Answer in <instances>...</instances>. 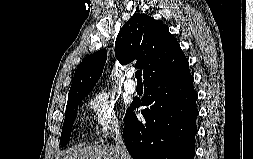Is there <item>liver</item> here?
<instances>
[{"mask_svg": "<svg viewBox=\"0 0 253 159\" xmlns=\"http://www.w3.org/2000/svg\"><path fill=\"white\" fill-rule=\"evenodd\" d=\"M63 159H119V156L112 146H86L73 149Z\"/></svg>", "mask_w": 253, "mask_h": 159, "instance_id": "6515ba94", "label": "liver"}]
</instances>
